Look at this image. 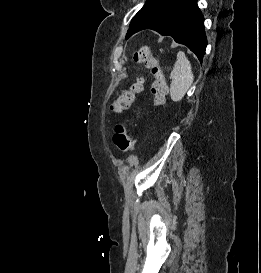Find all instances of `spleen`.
I'll use <instances>...</instances> for the list:
<instances>
[{
  "label": "spleen",
  "mask_w": 261,
  "mask_h": 273,
  "mask_svg": "<svg viewBox=\"0 0 261 273\" xmlns=\"http://www.w3.org/2000/svg\"><path fill=\"white\" fill-rule=\"evenodd\" d=\"M170 96L175 102H179L191 87L194 75L190 61L183 51L177 53V60L171 71Z\"/></svg>",
  "instance_id": "obj_1"
}]
</instances>
